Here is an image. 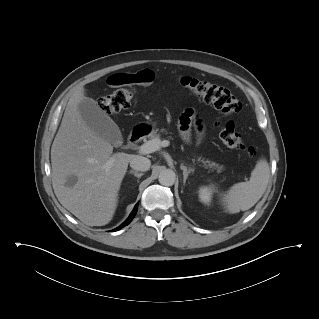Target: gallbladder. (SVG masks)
I'll return each instance as SVG.
<instances>
[{"label":"gallbladder","mask_w":319,"mask_h":319,"mask_svg":"<svg viewBox=\"0 0 319 319\" xmlns=\"http://www.w3.org/2000/svg\"><path fill=\"white\" fill-rule=\"evenodd\" d=\"M82 119L99 137L115 146L122 144L123 138L116 123L91 98L83 99L78 105Z\"/></svg>","instance_id":"bac80fb5"}]
</instances>
